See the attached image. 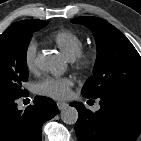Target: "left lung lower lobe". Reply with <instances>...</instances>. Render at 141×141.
I'll return each instance as SVG.
<instances>
[{
	"label": "left lung lower lobe",
	"instance_id": "obj_1",
	"mask_svg": "<svg viewBox=\"0 0 141 141\" xmlns=\"http://www.w3.org/2000/svg\"><path fill=\"white\" fill-rule=\"evenodd\" d=\"M99 99L101 108L95 113L80 102L70 104L79 114L75 125L78 140L135 141L141 133V97L108 93Z\"/></svg>",
	"mask_w": 141,
	"mask_h": 141
}]
</instances>
